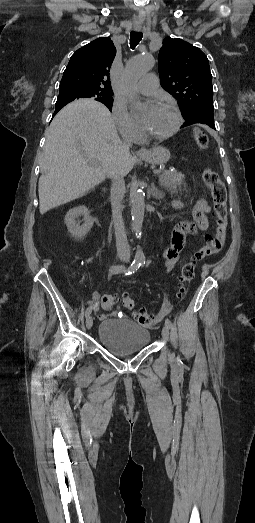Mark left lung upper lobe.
<instances>
[{
    "label": "left lung upper lobe",
    "mask_w": 255,
    "mask_h": 523,
    "mask_svg": "<svg viewBox=\"0 0 255 523\" xmlns=\"http://www.w3.org/2000/svg\"><path fill=\"white\" fill-rule=\"evenodd\" d=\"M159 74L163 89L178 100L186 122L213 129L214 106L212 74L206 55L181 39L167 37L159 51Z\"/></svg>",
    "instance_id": "obj_1"
}]
</instances>
